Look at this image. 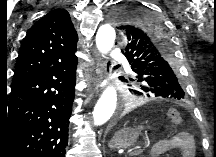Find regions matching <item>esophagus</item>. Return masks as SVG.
Segmentation results:
<instances>
[{"label":"esophagus","mask_w":216,"mask_h":157,"mask_svg":"<svg viewBox=\"0 0 216 157\" xmlns=\"http://www.w3.org/2000/svg\"><path fill=\"white\" fill-rule=\"evenodd\" d=\"M104 65L98 56L96 58V75L92 83L90 84V90H97L98 83L102 80Z\"/></svg>","instance_id":"1"}]
</instances>
